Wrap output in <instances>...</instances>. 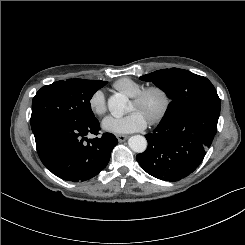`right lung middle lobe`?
<instances>
[{"instance_id":"dd1d6c3e","label":"right lung middle lobe","mask_w":245,"mask_h":245,"mask_svg":"<svg viewBox=\"0 0 245 245\" xmlns=\"http://www.w3.org/2000/svg\"><path fill=\"white\" fill-rule=\"evenodd\" d=\"M106 83L100 80L68 79L42 87L32 101V131L47 121L78 125L96 120L90 99Z\"/></svg>"}]
</instances>
